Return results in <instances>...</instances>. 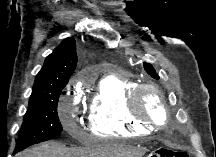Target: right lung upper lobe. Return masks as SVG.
Returning a JSON list of instances; mask_svg holds the SVG:
<instances>
[{
  "label": "right lung upper lobe",
  "instance_id": "cb5924a9",
  "mask_svg": "<svg viewBox=\"0 0 216 157\" xmlns=\"http://www.w3.org/2000/svg\"><path fill=\"white\" fill-rule=\"evenodd\" d=\"M76 64L75 39L67 38L46 57L42 69L36 75L30 100L43 98L62 90L68 83Z\"/></svg>",
  "mask_w": 216,
  "mask_h": 157
}]
</instances>
